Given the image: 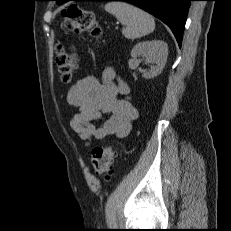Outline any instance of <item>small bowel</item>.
I'll use <instances>...</instances> for the list:
<instances>
[{
	"label": "small bowel",
	"instance_id": "obj_1",
	"mask_svg": "<svg viewBox=\"0 0 231 231\" xmlns=\"http://www.w3.org/2000/svg\"><path fill=\"white\" fill-rule=\"evenodd\" d=\"M129 93V86L117 78L111 67L105 69L100 78L86 76L71 86L67 99L78 112L70 126L86 147L93 138L105 142L112 135L124 138L130 133L138 110L128 100ZM103 116H107L105 121L96 126L94 122Z\"/></svg>",
	"mask_w": 231,
	"mask_h": 231
}]
</instances>
